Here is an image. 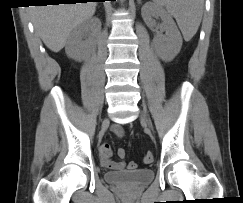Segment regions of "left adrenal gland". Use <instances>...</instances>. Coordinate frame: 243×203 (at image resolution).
<instances>
[{"label": "left adrenal gland", "mask_w": 243, "mask_h": 203, "mask_svg": "<svg viewBox=\"0 0 243 203\" xmlns=\"http://www.w3.org/2000/svg\"><path fill=\"white\" fill-rule=\"evenodd\" d=\"M137 2H138V4H140L141 3V0H137Z\"/></svg>", "instance_id": "left-adrenal-gland-1"}]
</instances>
